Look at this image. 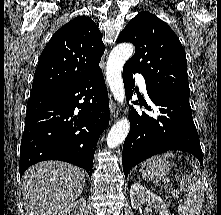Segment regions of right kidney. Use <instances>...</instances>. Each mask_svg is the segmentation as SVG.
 <instances>
[{
	"instance_id": "obj_1",
	"label": "right kidney",
	"mask_w": 221,
	"mask_h": 215,
	"mask_svg": "<svg viewBox=\"0 0 221 215\" xmlns=\"http://www.w3.org/2000/svg\"><path fill=\"white\" fill-rule=\"evenodd\" d=\"M85 207L86 200L84 198H80L79 200L71 203L65 209L60 211L58 215H83Z\"/></svg>"
}]
</instances>
